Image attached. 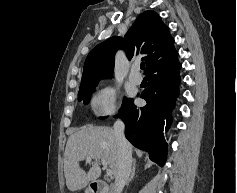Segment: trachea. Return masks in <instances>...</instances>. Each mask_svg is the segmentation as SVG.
<instances>
[{
  "instance_id": "3493384b",
  "label": "trachea",
  "mask_w": 237,
  "mask_h": 193,
  "mask_svg": "<svg viewBox=\"0 0 237 193\" xmlns=\"http://www.w3.org/2000/svg\"><path fill=\"white\" fill-rule=\"evenodd\" d=\"M140 68L143 70V69L145 68V64H144V63H141Z\"/></svg>"
}]
</instances>
